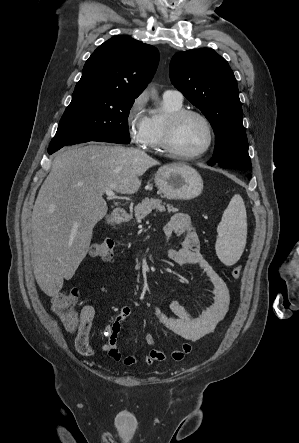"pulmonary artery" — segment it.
<instances>
[{
	"label": "pulmonary artery",
	"instance_id": "obj_1",
	"mask_svg": "<svg viewBox=\"0 0 299 443\" xmlns=\"http://www.w3.org/2000/svg\"><path fill=\"white\" fill-rule=\"evenodd\" d=\"M164 98L170 99L172 101L182 103L183 102V94L176 89L166 90L163 94Z\"/></svg>",
	"mask_w": 299,
	"mask_h": 443
}]
</instances>
